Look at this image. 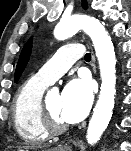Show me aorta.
<instances>
[{
    "mask_svg": "<svg viewBox=\"0 0 131 151\" xmlns=\"http://www.w3.org/2000/svg\"><path fill=\"white\" fill-rule=\"evenodd\" d=\"M80 30L87 33L93 42L102 81L87 130V141L93 145L100 139L112 117L116 95V57L111 37L99 20L93 17L73 15L62 19L56 26L54 35L58 40H64Z\"/></svg>",
    "mask_w": 131,
    "mask_h": 151,
    "instance_id": "762f6f07",
    "label": "aorta"
}]
</instances>
